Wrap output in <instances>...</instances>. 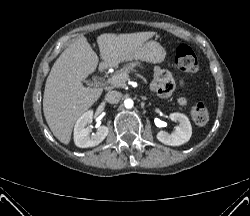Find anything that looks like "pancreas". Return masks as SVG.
Segmentation results:
<instances>
[{"instance_id": "obj_1", "label": "pancreas", "mask_w": 250, "mask_h": 216, "mask_svg": "<svg viewBox=\"0 0 250 216\" xmlns=\"http://www.w3.org/2000/svg\"><path fill=\"white\" fill-rule=\"evenodd\" d=\"M136 66H140L141 68H143V66L140 65L139 62H131L124 65L120 70L116 71L111 78L119 77L122 74H129L134 70ZM111 84L117 88H124L126 86V80H116Z\"/></svg>"}]
</instances>
